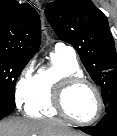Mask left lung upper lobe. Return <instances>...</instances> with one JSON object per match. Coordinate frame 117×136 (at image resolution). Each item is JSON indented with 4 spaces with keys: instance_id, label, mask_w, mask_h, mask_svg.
<instances>
[{
    "instance_id": "5c2ea615",
    "label": "left lung upper lobe",
    "mask_w": 117,
    "mask_h": 136,
    "mask_svg": "<svg viewBox=\"0 0 117 136\" xmlns=\"http://www.w3.org/2000/svg\"><path fill=\"white\" fill-rule=\"evenodd\" d=\"M45 15L58 37L71 44L95 83L106 112L117 104V54L107 17L91 0H56Z\"/></svg>"
}]
</instances>
